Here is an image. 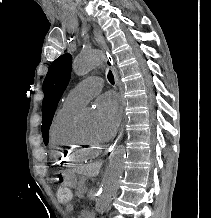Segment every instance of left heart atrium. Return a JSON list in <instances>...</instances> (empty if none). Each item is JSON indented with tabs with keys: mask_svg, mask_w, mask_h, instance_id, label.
<instances>
[{
	"mask_svg": "<svg viewBox=\"0 0 211 218\" xmlns=\"http://www.w3.org/2000/svg\"><path fill=\"white\" fill-rule=\"evenodd\" d=\"M98 116L97 134L102 139H110L120 124L121 111L117 97L107 92L95 101Z\"/></svg>",
	"mask_w": 211,
	"mask_h": 218,
	"instance_id": "left-heart-atrium-1",
	"label": "left heart atrium"
}]
</instances>
